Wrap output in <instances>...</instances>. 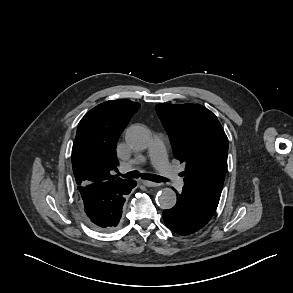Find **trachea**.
<instances>
[{
	"mask_svg": "<svg viewBox=\"0 0 293 293\" xmlns=\"http://www.w3.org/2000/svg\"><path fill=\"white\" fill-rule=\"evenodd\" d=\"M122 176L124 178H138L140 176V173L138 171H131V172H128ZM141 177L144 179H149V180H153V181H157V182L165 181L164 178L157 176V175H153V174L145 173V174H142Z\"/></svg>",
	"mask_w": 293,
	"mask_h": 293,
	"instance_id": "3493384b",
	"label": "trachea"
}]
</instances>
